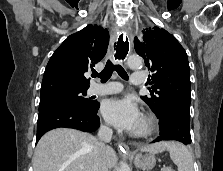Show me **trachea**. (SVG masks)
Wrapping results in <instances>:
<instances>
[{"label": "trachea", "mask_w": 223, "mask_h": 171, "mask_svg": "<svg viewBox=\"0 0 223 171\" xmlns=\"http://www.w3.org/2000/svg\"><path fill=\"white\" fill-rule=\"evenodd\" d=\"M114 48H115V45H114ZM114 70H116V72L122 79L128 80V75L126 71L124 70V68L119 64H116V65L113 64L110 60L107 61L106 66L102 70V72L100 73L96 72L92 76L101 78V82L104 83L112 76V73Z\"/></svg>", "instance_id": "3493384b"}]
</instances>
